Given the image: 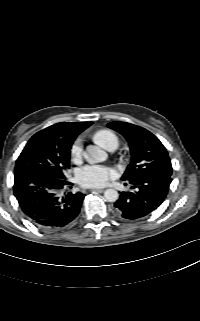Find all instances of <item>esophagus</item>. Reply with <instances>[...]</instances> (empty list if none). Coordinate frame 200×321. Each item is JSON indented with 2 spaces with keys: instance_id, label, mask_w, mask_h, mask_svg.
<instances>
[{
  "instance_id": "obj_1",
  "label": "esophagus",
  "mask_w": 200,
  "mask_h": 321,
  "mask_svg": "<svg viewBox=\"0 0 200 321\" xmlns=\"http://www.w3.org/2000/svg\"><path fill=\"white\" fill-rule=\"evenodd\" d=\"M104 190L103 189H93V193H102Z\"/></svg>"
}]
</instances>
